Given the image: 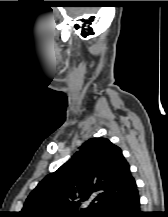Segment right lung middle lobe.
<instances>
[{
    "label": "right lung middle lobe",
    "mask_w": 168,
    "mask_h": 217,
    "mask_svg": "<svg viewBox=\"0 0 168 217\" xmlns=\"http://www.w3.org/2000/svg\"><path fill=\"white\" fill-rule=\"evenodd\" d=\"M55 217H88V216H81V215H57Z\"/></svg>",
    "instance_id": "1"
}]
</instances>
